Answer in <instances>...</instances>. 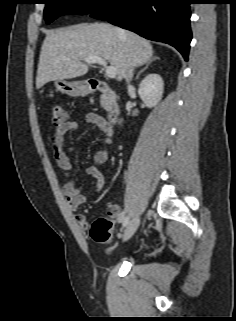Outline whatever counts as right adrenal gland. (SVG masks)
<instances>
[{"instance_id":"2a0ac1e0","label":"right adrenal gland","mask_w":236,"mask_h":321,"mask_svg":"<svg viewBox=\"0 0 236 321\" xmlns=\"http://www.w3.org/2000/svg\"><path fill=\"white\" fill-rule=\"evenodd\" d=\"M156 59H158V58H157V57H154V58H153V60H156ZM151 62H152V61H148V62L146 63L145 67H144L143 69H141V70L139 71V73L137 74L136 79H139L141 73H143L146 69H148V67L150 66Z\"/></svg>"}]
</instances>
